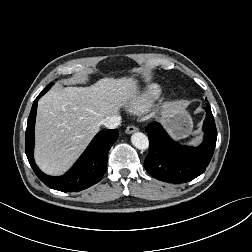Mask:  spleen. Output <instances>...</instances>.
<instances>
[{
    "mask_svg": "<svg viewBox=\"0 0 252 252\" xmlns=\"http://www.w3.org/2000/svg\"><path fill=\"white\" fill-rule=\"evenodd\" d=\"M196 143H198V140L192 141L189 144H196Z\"/></svg>",
    "mask_w": 252,
    "mask_h": 252,
    "instance_id": "3e777b00",
    "label": "spleen"
}]
</instances>
